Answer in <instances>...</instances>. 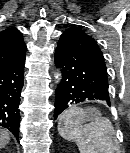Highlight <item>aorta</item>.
I'll use <instances>...</instances> for the list:
<instances>
[{
    "label": "aorta",
    "mask_w": 130,
    "mask_h": 153,
    "mask_svg": "<svg viewBox=\"0 0 130 153\" xmlns=\"http://www.w3.org/2000/svg\"><path fill=\"white\" fill-rule=\"evenodd\" d=\"M56 79H57V81H60V79H61V75L58 74V75L56 76Z\"/></svg>",
    "instance_id": "1"
}]
</instances>
